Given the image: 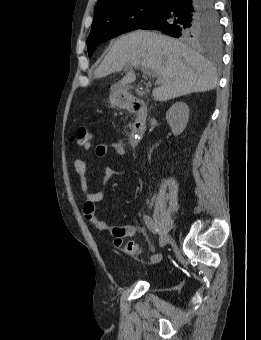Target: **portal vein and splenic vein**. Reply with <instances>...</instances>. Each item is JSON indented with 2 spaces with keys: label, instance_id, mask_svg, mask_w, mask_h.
<instances>
[{
  "label": "portal vein and splenic vein",
  "instance_id": "18ae733b",
  "mask_svg": "<svg viewBox=\"0 0 261 340\" xmlns=\"http://www.w3.org/2000/svg\"><path fill=\"white\" fill-rule=\"evenodd\" d=\"M140 69L144 74H146L150 78H154L156 76V73L152 69H150L146 66H142V67H140Z\"/></svg>",
  "mask_w": 261,
  "mask_h": 340
}]
</instances>
